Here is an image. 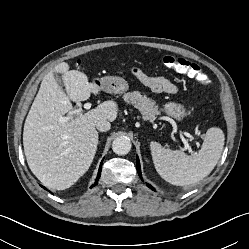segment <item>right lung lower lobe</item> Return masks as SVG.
I'll use <instances>...</instances> for the list:
<instances>
[{
  "label": "right lung lower lobe",
  "instance_id": "right-lung-lower-lobe-1",
  "mask_svg": "<svg viewBox=\"0 0 249 249\" xmlns=\"http://www.w3.org/2000/svg\"><path fill=\"white\" fill-rule=\"evenodd\" d=\"M101 166H102V163L100 164V168H99V172H98V176H97V180H96V182L94 183V185L93 186H95V185H97V181H98V179H99V177H100V174H101ZM41 187H43V186H41ZM44 189H46L45 187H43Z\"/></svg>",
  "mask_w": 249,
  "mask_h": 249
}]
</instances>
